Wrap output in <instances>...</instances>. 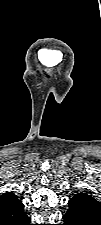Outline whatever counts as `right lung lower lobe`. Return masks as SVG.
I'll use <instances>...</instances> for the list:
<instances>
[{
  "label": "right lung lower lobe",
  "mask_w": 101,
  "mask_h": 225,
  "mask_svg": "<svg viewBox=\"0 0 101 225\" xmlns=\"http://www.w3.org/2000/svg\"><path fill=\"white\" fill-rule=\"evenodd\" d=\"M22 225H31V224H30V219L27 218L26 221H25Z\"/></svg>",
  "instance_id": "obj_1"
}]
</instances>
